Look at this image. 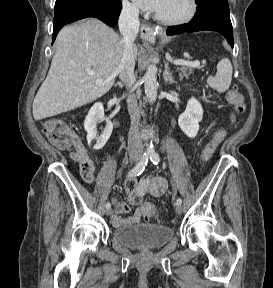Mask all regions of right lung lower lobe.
Wrapping results in <instances>:
<instances>
[{
  "label": "right lung lower lobe",
  "mask_w": 273,
  "mask_h": 288,
  "mask_svg": "<svg viewBox=\"0 0 273 288\" xmlns=\"http://www.w3.org/2000/svg\"><path fill=\"white\" fill-rule=\"evenodd\" d=\"M121 7V0L114 2L112 5H104L96 1H90L55 6L52 43L55 41L58 32L64 25L82 18L95 17L109 26L116 25L121 12Z\"/></svg>",
  "instance_id": "obj_1"
}]
</instances>
